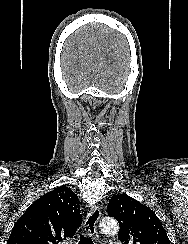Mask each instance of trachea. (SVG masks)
<instances>
[{
  "instance_id": "1",
  "label": "trachea",
  "mask_w": 188,
  "mask_h": 244,
  "mask_svg": "<svg viewBox=\"0 0 188 244\" xmlns=\"http://www.w3.org/2000/svg\"><path fill=\"white\" fill-rule=\"evenodd\" d=\"M79 244H93V242H92V240H91L90 237H87V236L82 235L80 237Z\"/></svg>"
}]
</instances>
